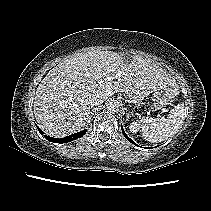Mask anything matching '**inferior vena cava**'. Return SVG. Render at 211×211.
I'll list each match as a JSON object with an SVG mask.
<instances>
[{"mask_svg":"<svg viewBox=\"0 0 211 211\" xmlns=\"http://www.w3.org/2000/svg\"><path fill=\"white\" fill-rule=\"evenodd\" d=\"M103 101H104L103 96L97 94V95H93V96L90 98L88 104H89L91 107H93V106H97V105L102 104Z\"/></svg>","mask_w":211,"mask_h":211,"instance_id":"602c4592","label":"inferior vena cava"}]
</instances>
